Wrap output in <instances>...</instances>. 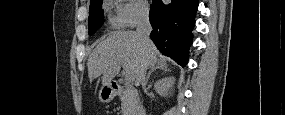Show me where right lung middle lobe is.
Wrapping results in <instances>:
<instances>
[{"label": "right lung middle lobe", "instance_id": "1", "mask_svg": "<svg viewBox=\"0 0 285 115\" xmlns=\"http://www.w3.org/2000/svg\"><path fill=\"white\" fill-rule=\"evenodd\" d=\"M103 0H93L90 2L89 9V35L94 34L103 24L104 14L101 10Z\"/></svg>", "mask_w": 285, "mask_h": 115}]
</instances>
